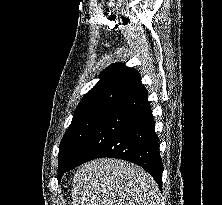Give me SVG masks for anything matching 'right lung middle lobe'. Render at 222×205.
<instances>
[{
  "label": "right lung middle lobe",
  "instance_id": "dd1d6c3e",
  "mask_svg": "<svg viewBox=\"0 0 222 205\" xmlns=\"http://www.w3.org/2000/svg\"><path fill=\"white\" fill-rule=\"evenodd\" d=\"M108 111L95 110L73 117L59 146L58 180L63 176L86 138Z\"/></svg>",
  "mask_w": 222,
  "mask_h": 205
}]
</instances>
